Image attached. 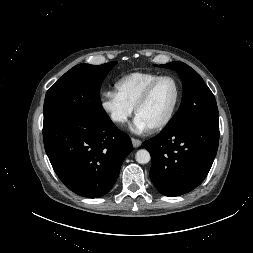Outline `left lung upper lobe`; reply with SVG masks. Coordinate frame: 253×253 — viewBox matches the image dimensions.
Listing matches in <instances>:
<instances>
[{"label":"left lung upper lobe","instance_id":"5c2ea615","mask_svg":"<svg viewBox=\"0 0 253 253\" xmlns=\"http://www.w3.org/2000/svg\"><path fill=\"white\" fill-rule=\"evenodd\" d=\"M160 66L176 70L183 82L180 108L161 132H172L199 123L219 125L215 97L201 76L190 66L179 61Z\"/></svg>","mask_w":253,"mask_h":253}]
</instances>
